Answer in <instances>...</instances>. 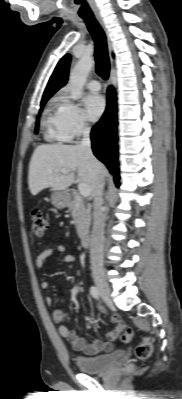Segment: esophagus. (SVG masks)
<instances>
[{
	"mask_svg": "<svg viewBox=\"0 0 182 399\" xmlns=\"http://www.w3.org/2000/svg\"><path fill=\"white\" fill-rule=\"evenodd\" d=\"M95 17H96L97 21L99 22V24L101 25L102 29L104 30V32L106 34L111 67H113V58H112V55H111L112 43H111V40L109 38L108 31H107V29L105 27V24H104V21H103V18L101 17V15L99 13H96ZM112 80H113V77H112V72H111L110 77H109V84L112 83Z\"/></svg>",
	"mask_w": 182,
	"mask_h": 399,
	"instance_id": "1",
	"label": "esophagus"
}]
</instances>
